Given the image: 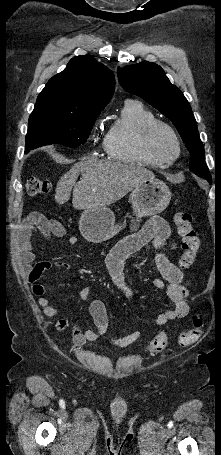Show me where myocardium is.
Returning <instances> with one entry per match:
<instances>
[{"mask_svg": "<svg viewBox=\"0 0 221 455\" xmlns=\"http://www.w3.org/2000/svg\"><path fill=\"white\" fill-rule=\"evenodd\" d=\"M165 133L174 142L176 147L175 155H169L160 144V135ZM144 141L146 147L157 157L165 160L166 162L175 161L181 152V142L175 130L166 122L161 120H154L149 123L144 130Z\"/></svg>", "mask_w": 221, "mask_h": 455, "instance_id": "f54148a6", "label": "myocardium"}]
</instances>
